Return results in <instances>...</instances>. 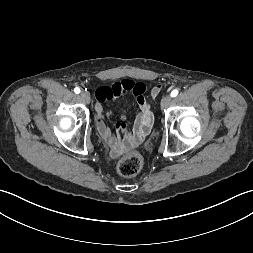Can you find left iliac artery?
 I'll use <instances>...</instances> for the list:
<instances>
[{"label": "left iliac artery", "instance_id": "44dca946", "mask_svg": "<svg viewBox=\"0 0 253 253\" xmlns=\"http://www.w3.org/2000/svg\"><path fill=\"white\" fill-rule=\"evenodd\" d=\"M171 97H175V96H177L178 95V90H173L172 92H171Z\"/></svg>", "mask_w": 253, "mask_h": 253}]
</instances>
